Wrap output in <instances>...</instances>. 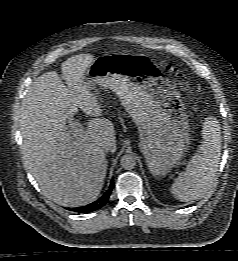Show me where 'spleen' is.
Listing matches in <instances>:
<instances>
[{
    "instance_id": "1",
    "label": "spleen",
    "mask_w": 238,
    "mask_h": 261,
    "mask_svg": "<svg viewBox=\"0 0 238 261\" xmlns=\"http://www.w3.org/2000/svg\"><path fill=\"white\" fill-rule=\"evenodd\" d=\"M203 141L198 152L188 162L186 170L174 180L171 192L181 202L203 197L212 187L221 155V127L219 121L207 117L202 126Z\"/></svg>"
}]
</instances>
